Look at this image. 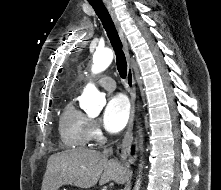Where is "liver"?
Returning a JSON list of instances; mask_svg holds the SVG:
<instances>
[{
    "label": "liver",
    "instance_id": "1",
    "mask_svg": "<svg viewBox=\"0 0 221 190\" xmlns=\"http://www.w3.org/2000/svg\"><path fill=\"white\" fill-rule=\"evenodd\" d=\"M126 178V169L118 161L96 150L75 148L49 157L41 190H58L63 185L87 189L98 181L100 185L123 184Z\"/></svg>",
    "mask_w": 221,
    "mask_h": 190
}]
</instances>
